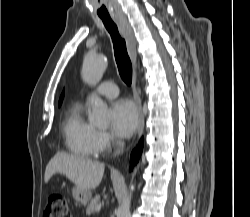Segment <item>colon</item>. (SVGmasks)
I'll return each mask as SVG.
<instances>
[{"label":"colon","mask_w":250,"mask_h":217,"mask_svg":"<svg viewBox=\"0 0 250 217\" xmlns=\"http://www.w3.org/2000/svg\"><path fill=\"white\" fill-rule=\"evenodd\" d=\"M43 217H70L67 201L62 194L54 193L49 196Z\"/></svg>","instance_id":"1"}]
</instances>
